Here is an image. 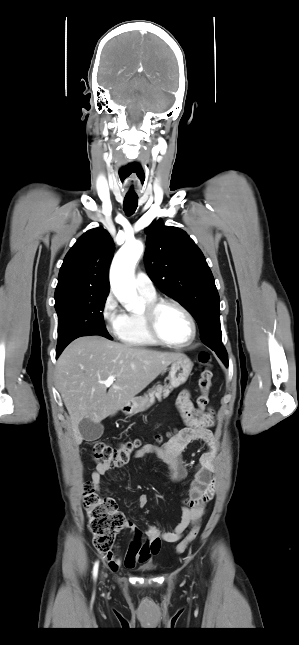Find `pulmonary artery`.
<instances>
[{"label": "pulmonary artery", "mask_w": 299, "mask_h": 645, "mask_svg": "<svg viewBox=\"0 0 299 645\" xmlns=\"http://www.w3.org/2000/svg\"><path fill=\"white\" fill-rule=\"evenodd\" d=\"M136 287L140 293H144L150 296L156 294L154 284L149 276L143 272H139L135 278Z\"/></svg>", "instance_id": "pulmonary-artery-1"}]
</instances>
